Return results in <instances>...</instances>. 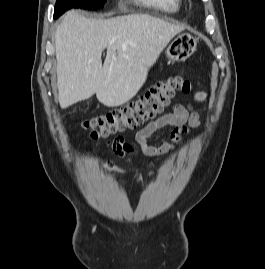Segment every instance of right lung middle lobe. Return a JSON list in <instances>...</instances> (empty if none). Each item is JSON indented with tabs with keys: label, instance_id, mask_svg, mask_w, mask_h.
<instances>
[{
	"label": "right lung middle lobe",
	"instance_id": "right-lung-middle-lobe-1",
	"mask_svg": "<svg viewBox=\"0 0 265 269\" xmlns=\"http://www.w3.org/2000/svg\"><path fill=\"white\" fill-rule=\"evenodd\" d=\"M105 2L106 0H57L54 15L59 17L70 8L99 9Z\"/></svg>",
	"mask_w": 265,
	"mask_h": 269
}]
</instances>
